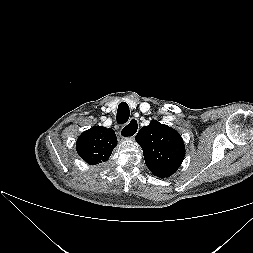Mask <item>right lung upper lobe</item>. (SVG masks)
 I'll use <instances>...</instances> for the list:
<instances>
[{
  "instance_id": "1",
  "label": "right lung upper lobe",
  "mask_w": 253,
  "mask_h": 253,
  "mask_svg": "<svg viewBox=\"0 0 253 253\" xmlns=\"http://www.w3.org/2000/svg\"><path fill=\"white\" fill-rule=\"evenodd\" d=\"M116 144L117 138L113 129L94 126L79 136L76 150L88 164L96 165L109 159Z\"/></svg>"
}]
</instances>
